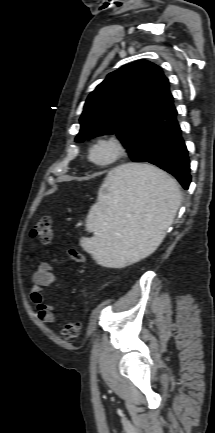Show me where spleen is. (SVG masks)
<instances>
[{
  "instance_id": "3e777b00",
  "label": "spleen",
  "mask_w": 215,
  "mask_h": 433,
  "mask_svg": "<svg viewBox=\"0 0 215 433\" xmlns=\"http://www.w3.org/2000/svg\"><path fill=\"white\" fill-rule=\"evenodd\" d=\"M181 203L178 184L147 164L112 169L86 218L92 238L81 247L101 265L124 267L152 254L161 244Z\"/></svg>"
}]
</instances>
